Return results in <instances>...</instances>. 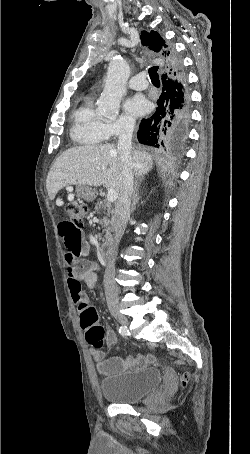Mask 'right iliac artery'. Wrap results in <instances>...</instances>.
<instances>
[{
	"instance_id": "82829eb1",
	"label": "right iliac artery",
	"mask_w": 250,
	"mask_h": 454,
	"mask_svg": "<svg viewBox=\"0 0 250 454\" xmlns=\"http://www.w3.org/2000/svg\"><path fill=\"white\" fill-rule=\"evenodd\" d=\"M119 333H120L122 336H126V335H128L129 331H128V329H127L126 327H122V326H121V327L119 328Z\"/></svg>"
}]
</instances>
